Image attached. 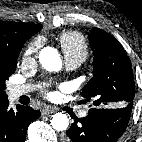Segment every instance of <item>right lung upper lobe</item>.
I'll return each mask as SVG.
<instances>
[{"instance_id":"obj_1","label":"right lung upper lobe","mask_w":142,"mask_h":142,"mask_svg":"<svg viewBox=\"0 0 142 142\" xmlns=\"http://www.w3.org/2000/svg\"><path fill=\"white\" fill-rule=\"evenodd\" d=\"M40 29L38 24L0 21V55H7L15 47L23 46ZM5 99L0 98V102Z\"/></svg>"}]
</instances>
